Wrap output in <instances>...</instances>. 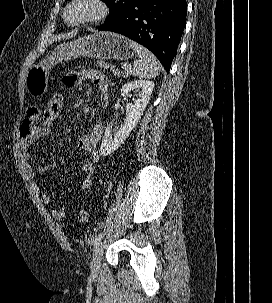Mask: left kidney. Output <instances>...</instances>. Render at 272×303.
<instances>
[{
    "instance_id": "1",
    "label": "left kidney",
    "mask_w": 272,
    "mask_h": 303,
    "mask_svg": "<svg viewBox=\"0 0 272 303\" xmlns=\"http://www.w3.org/2000/svg\"><path fill=\"white\" fill-rule=\"evenodd\" d=\"M154 88V83L148 80H135L126 83L122 86L121 95L123 97L127 96L131 91L139 92V98L132 103L126 105V118L124 119V124L121 126L120 130L114 133V138H112V124L106 127L104 138L101 142L99 149L100 155L108 156L111 155L115 150L121 146L126 138L129 136L131 131L136 127L139 122L143 112L149 102L150 96Z\"/></svg>"
}]
</instances>
